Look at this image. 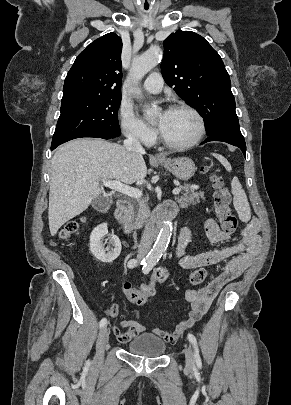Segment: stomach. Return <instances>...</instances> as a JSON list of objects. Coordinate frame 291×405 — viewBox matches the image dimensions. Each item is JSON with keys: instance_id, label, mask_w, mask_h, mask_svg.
Listing matches in <instances>:
<instances>
[{"instance_id": "obj_1", "label": "stomach", "mask_w": 291, "mask_h": 405, "mask_svg": "<svg viewBox=\"0 0 291 405\" xmlns=\"http://www.w3.org/2000/svg\"><path fill=\"white\" fill-rule=\"evenodd\" d=\"M158 164L164 166L169 170L176 178L187 181L196 171L194 162L189 158H176V159H162L158 161Z\"/></svg>"}]
</instances>
